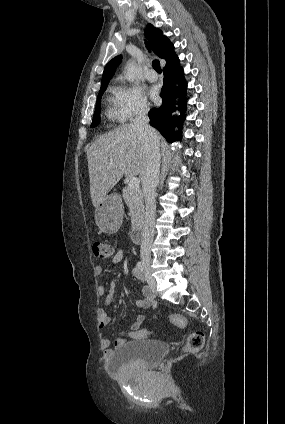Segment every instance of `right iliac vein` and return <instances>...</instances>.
Instances as JSON below:
<instances>
[{
	"mask_svg": "<svg viewBox=\"0 0 285 424\" xmlns=\"http://www.w3.org/2000/svg\"><path fill=\"white\" fill-rule=\"evenodd\" d=\"M144 274L146 275L149 286L152 289L156 288V281L151 275V260L148 257H143Z\"/></svg>",
	"mask_w": 285,
	"mask_h": 424,
	"instance_id": "right-iliac-vein-1",
	"label": "right iliac vein"
}]
</instances>
